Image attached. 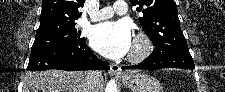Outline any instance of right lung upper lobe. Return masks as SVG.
Wrapping results in <instances>:
<instances>
[{"label":"right lung upper lobe","instance_id":"obj_1","mask_svg":"<svg viewBox=\"0 0 225 92\" xmlns=\"http://www.w3.org/2000/svg\"><path fill=\"white\" fill-rule=\"evenodd\" d=\"M85 0H43L40 15V24L50 22H74L81 13Z\"/></svg>","mask_w":225,"mask_h":92}]
</instances>
